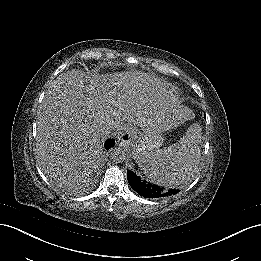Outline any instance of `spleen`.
<instances>
[{
	"label": "spleen",
	"mask_w": 261,
	"mask_h": 261,
	"mask_svg": "<svg viewBox=\"0 0 261 261\" xmlns=\"http://www.w3.org/2000/svg\"><path fill=\"white\" fill-rule=\"evenodd\" d=\"M200 130L198 125H191L185 136L178 142L149 152L138 162V165L157 184L166 187L181 185L187 177L186 174L189 175L193 167L199 163ZM180 168L187 169L189 174L178 172L177 169Z\"/></svg>",
	"instance_id": "spleen-1"
}]
</instances>
